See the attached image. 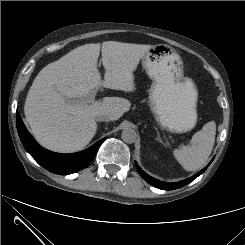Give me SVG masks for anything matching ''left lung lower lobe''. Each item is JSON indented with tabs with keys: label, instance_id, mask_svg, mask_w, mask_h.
Listing matches in <instances>:
<instances>
[{
	"label": "left lung lower lobe",
	"instance_id": "1",
	"mask_svg": "<svg viewBox=\"0 0 245 245\" xmlns=\"http://www.w3.org/2000/svg\"><path fill=\"white\" fill-rule=\"evenodd\" d=\"M214 159V158H213ZM213 159L211 160V162L213 161ZM210 162V163H211ZM209 163V164H210ZM208 164V166H209ZM137 169L139 171V174L151 185H153L156 188L159 189H163V190H173V189H177L180 188L188 183H190L191 181H193L195 178H197L199 175H201L202 173L205 172V170L207 169V167H205L204 169H202L200 172H198L196 175L181 181V182H177V183H166V182H161L159 180L154 179L153 177L149 176L148 174H146L144 171H142V169L136 164Z\"/></svg>",
	"mask_w": 245,
	"mask_h": 245
}]
</instances>
